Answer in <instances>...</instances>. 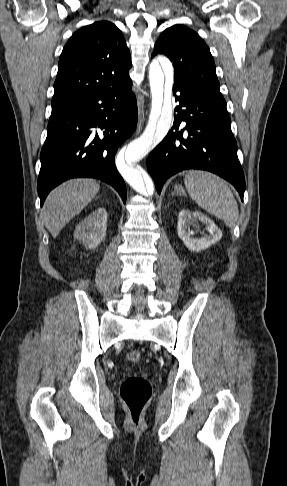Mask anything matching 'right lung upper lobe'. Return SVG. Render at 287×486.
I'll list each match as a JSON object with an SVG mask.
<instances>
[{
    "label": "right lung upper lobe",
    "instance_id": "1",
    "mask_svg": "<svg viewBox=\"0 0 287 486\" xmlns=\"http://www.w3.org/2000/svg\"><path fill=\"white\" fill-rule=\"evenodd\" d=\"M131 57L121 31L98 21L76 31L61 53L54 83L52 112L68 108L95 93L128 82Z\"/></svg>",
    "mask_w": 287,
    "mask_h": 486
}]
</instances>
